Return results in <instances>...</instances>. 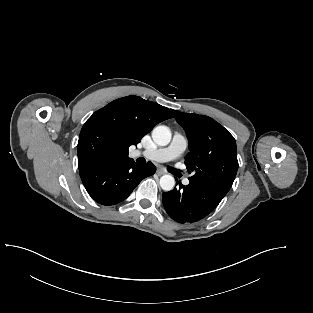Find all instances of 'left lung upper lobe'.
I'll use <instances>...</instances> for the list:
<instances>
[{
    "label": "left lung upper lobe",
    "mask_w": 313,
    "mask_h": 313,
    "mask_svg": "<svg viewBox=\"0 0 313 313\" xmlns=\"http://www.w3.org/2000/svg\"><path fill=\"white\" fill-rule=\"evenodd\" d=\"M172 111L188 138L185 165L194 172L189 181L227 193L239 166L234 137L208 116Z\"/></svg>",
    "instance_id": "left-lung-upper-lobe-1"
}]
</instances>
